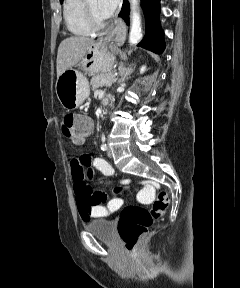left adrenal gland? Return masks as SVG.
Listing matches in <instances>:
<instances>
[{"label":"left adrenal gland","mask_w":240,"mask_h":288,"mask_svg":"<svg viewBox=\"0 0 240 288\" xmlns=\"http://www.w3.org/2000/svg\"><path fill=\"white\" fill-rule=\"evenodd\" d=\"M133 71H134L133 67L130 66V67L126 68L123 65H121L119 67V74H120L121 78L119 79L118 83L119 84L123 83L125 81V79H127L128 76H130Z\"/></svg>","instance_id":"left-adrenal-gland-1"}]
</instances>
